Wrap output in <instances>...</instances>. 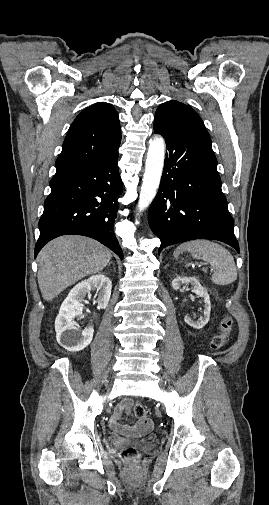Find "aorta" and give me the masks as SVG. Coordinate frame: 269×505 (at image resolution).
Instances as JSON below:
<instances>
[{
  "label": "aorta",
  "instance_id": "aorta-1",
  "mask_svg": "<svg viewBox=\"0 0 269 505\" xmlns=\"http://www.w3.org/2000/svg\"><path fill=\"white\" fill-rule=\"evenodd\" d=\"M165 157V141L155 136L149 141L145 173L137 204L138 212L144 211L153 201L160 185Z\"/></svg>",
  "mask_w": 269,
  "mask_h": 505
}]
</instances>
